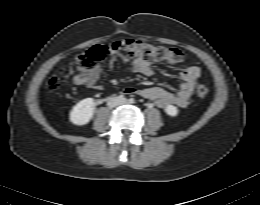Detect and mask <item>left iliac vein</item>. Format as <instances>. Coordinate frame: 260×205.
I'll use <instances>...</instances> for the list:
<instances>
[{"instance_id":"obj_1","label":"left iliac vein","mask_w":260,"mask_h":205,"mask_svg":"<svg viewBox=\"0 0 260 205\" xmlns=\"http://www.w3.org/2000/svg\"><path fill=\"white\" fill-rule=\"evenodd\" d=\"M127 103H128V100H127V99H124V100L119 101V104H127Z\"/></svg>"}]
</instances>
